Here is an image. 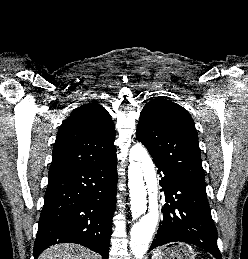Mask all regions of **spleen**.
Returning a JSON list of instances; mask_svg holds the SVG:
<instances>
[{
	"instance_id": "spleen-1",
	"label": "spleen",
	"mask_w": 248,
	"mask_h": 259,
	"mask_svg": "<svg viewBox=\"0 0 248 259\" xmlns=\"http://www.w3.org/2000/svg\"><path fill=\"white\" fill-rule=\"evenodd\" d=\"M152 259H157V251H155L152 255Z\"/></svg>"
}]
</instances>
